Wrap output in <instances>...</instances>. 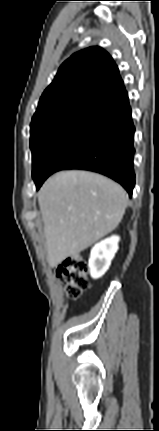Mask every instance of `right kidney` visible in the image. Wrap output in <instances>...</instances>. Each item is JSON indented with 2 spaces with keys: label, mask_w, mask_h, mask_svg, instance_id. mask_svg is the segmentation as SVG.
Listing matches in <instances>:
<instances>
[{
  "label": "right kidney",
  "mask_w": 159,
  "mask_h": 431,
  "mask_svg": "<svg viewBox=\"0 0 159 431\" xmlns=\"http://www.w3.org/2000/svg\"><path fill=\"white\" fill-rule=\"evenodd\" d=\"M119 240V236H111L92 248L89 258V270L93 279L102 277L109 269L111 261L118 251Z\"/></svg>",
  "instance_id": "ca27d5eb"
}]
</instances>
